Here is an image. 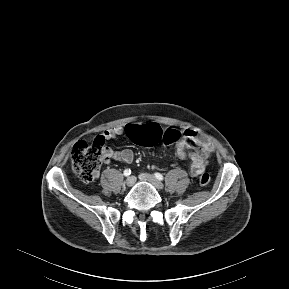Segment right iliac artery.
<instances>
[{"mask_svg": "<svg viewBox=\"0 0 289 289\" xmlns=\"http://www.w3.org/2000/svg\"><path fill=\"white\" fill-rule=\"evenodd\" d=\"M131 174V170L130 169H125L124 170V176H129Z\"/></svg>", "mask_w": 289, "mask_h": 289, "instance_id": "82829eb1", "label": "right iliac artery"}]
</instances>
